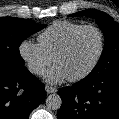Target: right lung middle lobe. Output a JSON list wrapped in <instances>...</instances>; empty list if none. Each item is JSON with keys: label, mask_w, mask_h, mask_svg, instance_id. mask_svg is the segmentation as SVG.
I'll return each mask as SVG.
<instances>
[{"label": "right lung middle lobe", "mask_w": 119, "mask_h": 119, "mask_svg": "<svg viewBox=\"0 0 119 119\" xmlns=\"http://www.w3.org/2000/svg\"><path fill=\"white\" fill-rule=\"evenodd\" d=\"M45 27L30 19L0 18V67L23 66L25 62L19 53L20 44Z\"/></svg>", "instance_id": "dd1d6c3e"}]
</instances>
